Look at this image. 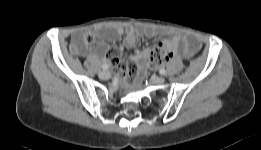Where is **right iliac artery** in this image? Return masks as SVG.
I'll return each instance as SVG.
<instances>
[{
  "mask_svg": "<svg viewBox=\"0 0 261 150\" xmlns=\"http://www.w3.org/2000/svg\"><path fill=\"white\" fill-rule=\"evenodd\" d=\"M102 68H103L104 70H107V69L109 68V66H108L107 64H103V65H102Z\"/></svg>",
  "mask_w": 261,
  "mask_h": 150,
  "instance_id": "82829eb1",
  "label": "right iliac artery"
}]
</instances>
